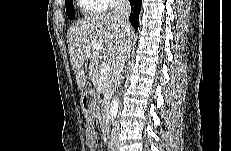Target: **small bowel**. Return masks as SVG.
<instances>
[{"label":"small bowel","instance_id":"1","mask_svg":"<svg viewBox=\"0 0 231 151\" xmlns=\"http://www.w3.org/2000/svg\"><path fill=\"white\" fill-rule=\"evenodd\" d=\"M86 145L90 151H93L97 142V134L94 129V116H88L85 121Z\"/></svg>","mask_w":231,"mask_h":151}]
</instances>
